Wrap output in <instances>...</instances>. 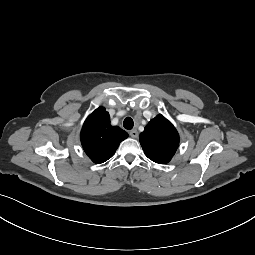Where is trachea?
<instances>
[{
    "mask_svg": "<svg viewBox=\"0 0 255 255\" xmlns=\"http://www.w3.org/2000/svg\"><path fill=\"white\" fill-rule=\"evenodd\" d=\"M123 125H124L125 129L131 130L134 126L133 119L131 117H126L125 120H124Z\"/></svg>",
    "mask_w": 255,
    "mask_h": 255,
    "instance_id": "3493384b",
    "label": "trachea"
}]
</instances>
